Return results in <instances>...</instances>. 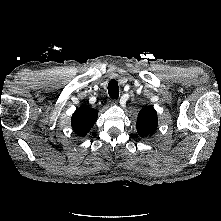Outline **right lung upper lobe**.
<instances>
[{"label":"right lung upper lobe","mask_w":221,"mask_h":221,"mask_svg":"<svg viewBox=\"0 0 221 221\" xmlns=\"http://www.w3.org/2000/svg\"><path fill=\"white\" fill-rule=\"evenodd\" d=\"M98 111L87 105H82L72 115L71 125L73 130L84 137L97 120Z\"/></svg>","instance_id":"right-lung-upper-lobe-1"}]
</instances>
